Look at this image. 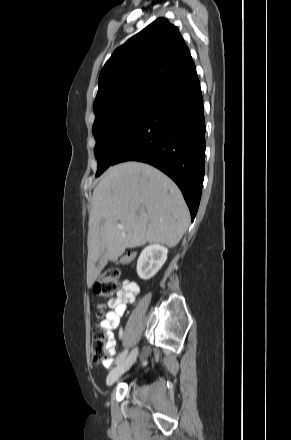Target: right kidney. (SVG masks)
I'll return each mask as SVG.
<instances>
[{"instance_id":"obj_1","label":"right kidney","mask_w":291,"mask_h":440,"mask_svg":"<svg viewBox=\"0 0 291 440\" xmlns=\"http://www.w3.org/2000/svg\"><path fill=\"white\" fill-rule=\"evenodd\" d=\"M168 249L159 244L145 247L137 260L138 276L147 280L153 277L167 260Z\"/></svg>"}]
</instances>
